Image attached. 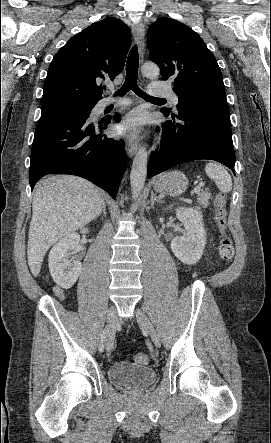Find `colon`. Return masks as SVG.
<instances>
[{
  "mask_svg": "<svg viewBox=\"0 0 271 443\" xmlns=\"http://www.w3.org/2000/svg\"><path fill=\"white\" fill-rule=\"evenodd\" d=\"M226 221V200L222 194H219L215 199V222L219 233L218 251L223 260L231 261L235 251L231 239L226 234ZM134 361L139 364H146L148 362V356L144 353H137L134 355Z\"/></svg>",
  "mask_w": 271,
  "mask_h": 443,
  "instance_id": "5ec220e1",
  "label": "colon"
}]
</instances>
